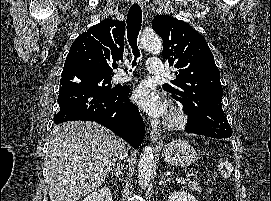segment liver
<instances>
[{
	"label": "liver",
	"mask_w": 271,
	"mask_h": 201,
	"mask_svg": "<svg viewBox=\"0 0 271 201\" xmlns=\"http://www.w3.org/2000/svg\"><path fill=\"white\" fill-rule=\"evenodd\" d=\"M123 150L122 141L95 122L54 126L47 154L50 201H77L95 191Z\"/></svg>",
	"instance_id": "liver-1"
}]
</instances>
